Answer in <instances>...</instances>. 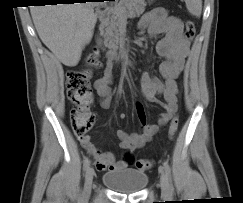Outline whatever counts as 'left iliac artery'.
I'll list each match as a JSON object with an SVG mask.
<instances>
[{
  "mask_svg": "<svg viewBox=\"0 0 243 203\" xmlns=\"http://www.w3.org/2000/svg\"><path fill=\"white\" fill-rule=\"evenodd\" d=\"M163 165H164L165 172H166V175H167L168 180H169V189H170V191H172L173 186H172V181H171V168L169 166L168 161H166V160L163 162Z\"/></svg>",
  "mask_w": 243,
  "mask_h": 203,
  "instance_id": "1",
  "label": "left iliac artery"
}]
</instances>
